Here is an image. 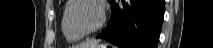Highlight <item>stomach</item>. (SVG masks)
Here are the masks:
<instances>
[{"label": "stomach", "mask_w": 213, "mask_h": 48, "mask_svg": "<svg viewBox=\"0 0 213 48\" xmlns=\"http://www.w3.org/2000/svg\"><path fill=\"white\" fill-rule=\"evenodd\" d=\"M109 47L108 44H97L95 47H92V48H107Z\"/></svg>", "instance_id": "stomach-1"}]
</instances>
